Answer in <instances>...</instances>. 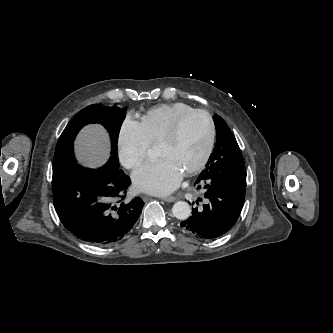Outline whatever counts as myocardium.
I'll return each instance as SVG.
<instances>
[{
	"instance_id": "obj_1",
	"label": "myocardium",
	"mask_w": 333,
	"mask_h": 333,
	"mask_svg": "<svg viewBox=\"0 0 333 333\" xmlns=\"http://www.w3.org/2000/svg\"><path fill=\"white\" fill-rule=\"evenodd\" d=\"M197 114L203 115L207 119L209 126V137L203 156L201 157V159L198 161L197 164H195L193 167L189 168L187 171L184 172L186 176L193 175L202 170L205 167V165L208 163L212 155L216 140V127L212 115L207 110L204 109H192L188 112H185L172 123L168 131L159 141L160 144V143H170L176 140L183 123L189 117Z\"/></svg>"
}]
</instances>
